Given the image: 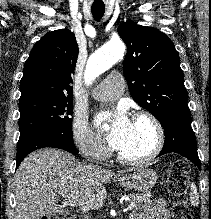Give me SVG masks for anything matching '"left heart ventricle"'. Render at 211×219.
Here are the masks:
<instances>
[{
    "label": "left heart ventricle",
    "instance_id": "b2bd125f",
    "mask_svg": "<svg viewBox=\"0 0 211 219\" xmlns=\"http://www.w3.org/2000/svg\"><path fill=\"white\" fill-rule=\"evenodd\" d=\"M132 123L131 134L119 152L127 157L136 158L151 150L155 141V133L147 121H133Z\"/></svg>",
    "mask_w": 211,
    "mask_h": 219
}]
</instances>
